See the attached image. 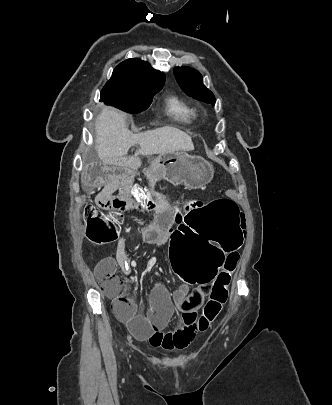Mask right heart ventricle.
Instances as JSON below:
<instances>
[{
  "label": "right heart ventricle",
  "instance_id": "obj_1",
  "mask_svg": "<svg viewBox=\"0 0 332 405\" xmlns=\"http://www.w3.org/2000/svg\"><path fill=\"white\" fill-rule=\"evenodd\" d=\"M165 104L167 113L179 121L188 123L198 116V109L177 95H170Z\"/></svg>",
  "mask_w": 332,
  "mask_h": 405
}]
</instances>
